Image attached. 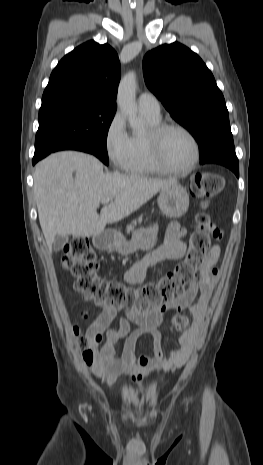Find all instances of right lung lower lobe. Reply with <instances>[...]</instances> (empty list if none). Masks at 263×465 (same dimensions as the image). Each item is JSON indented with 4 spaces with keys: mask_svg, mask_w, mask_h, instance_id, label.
Instances as JSON below:
<instances>
[{
    "mask_svg": "<svg viewBox=\"0 0 263 465\" xmlns=\"http://www.w3.org/2000/svg\"><path fill=\"white\" fill-rule=\"evenodd\" d=\"M60 150H78V151H83V152L90 153L87 149L83 148L82 146L75 145V144H65V145L60 146L59 148H56L55 150L50 151L48 154H50L52 152H55V151H60ZM47 155H45V156H47ZM44 157L33 158V161H32L33 165L35 163H37L39 160H41L42 158H44Z\"/></svg>",
    "mask_w": 263,
    "mask_h": 465,
    "instance_id": "obj_1",
    "label": "right lung lower lobe"
}]
</instances>
